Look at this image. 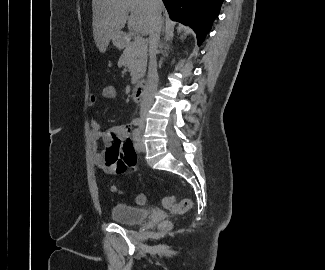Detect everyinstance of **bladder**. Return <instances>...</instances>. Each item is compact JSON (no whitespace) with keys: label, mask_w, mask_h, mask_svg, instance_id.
<instances>
[{"label":"bladder","mask_w":325,"mask_h":270,"mask_svg":"<svg viewBox=\"0 0 325 270\" xmlns=\"http://www.w3.org/2000/svg\"><path fill=\"white\" fill-rule=\"evenodd\" d=\"M150 216V211L132 206L124 202H117L111 209V219L119 224L138 226L144 223Z\"/></svg>","instance_id":"bladder-1"}]
</instances>
